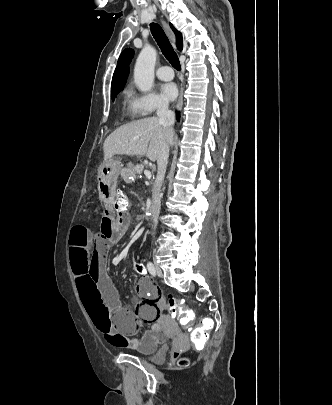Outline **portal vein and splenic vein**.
Masks as SVG:
<instances>
[{
    "label": "portal vein and splenic vein",
    "instance_id": "18ae733b",
    "mask_svg": "<svg viewBox=\"0 0 332 405\" xmlns=\"http://www.w3.org/2000/svg\"><path fill=\"white\" fill-rule=\"evenodd\" d=\"M144 174H145V176H146L148 179L151 178V172H150V170H145V171H144Z\"/></svg>",
    "mask_w": 332,
    "mask_h": 405
}]
</instances>
